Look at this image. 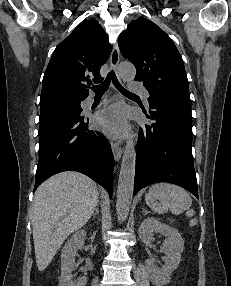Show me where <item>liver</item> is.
Returning a JSON list of instances; mask_svg holds the SVG:
<instances>
[{
    "mask_svg": "<svg viewBox=\"0 0 231 286\" xmlns=\"http://www.w3.org/2000/svg\"><path fill=\"white\" fill-rule=\"evenodd\" d=\"M98 187L78 172H62L42 183L31 209L36 263L44 271L65 239L83 227L98 204Z\"/></svg>",
    "mask_w": 231,
    "mask_h": 286,
    "instance_id": "6515ba94",
    "label": "liver"
}]
</instances>
